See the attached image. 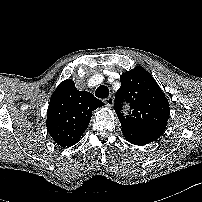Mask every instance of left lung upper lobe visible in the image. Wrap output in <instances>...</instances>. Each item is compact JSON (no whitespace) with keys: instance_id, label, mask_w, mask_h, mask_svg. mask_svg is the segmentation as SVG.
Here are the masks:
<instances>
[{"instance_id":"5c2ea615","label":"left lung upper lobe","mask_w":202,"mask_h":202,"mask_svg":"<svg viewBox=\"0 0 202 202\" xmlns=\"http://www.w3.org/2000/svg\"><path fill=\"white\" fill-rule=\"evenodd\" d=\"M121 87L115 95V112L122 133L155 141L164 133L170 108L165 94L151 74L140 66L120 76ZM130 103L129 115L123 116L124 102Z\"/></svg>"}]
</instances>
